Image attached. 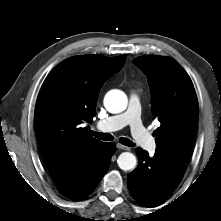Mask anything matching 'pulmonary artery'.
I'll return each instance as SVG.
<instances>
[{
  "mask_svg": "<svg viewBox=\"0 0 221 221\" xmlns=\"http://www.w3.org/2000/svg\"><path fill=\"white\" fill-rule=\"evenodd\" d=\"M140 110V99L138 94L134 92L130 95L129 106L125 112L99 121L97 123V128L103 132H110L129 125L135 141L145 150L154 152L156 143L142 124Z\"/></svg>",
  "mask_w": 221,
  "mask_h": 221,
  "instance_id": "e3ab8cb5",
  "label": "pulmonary artery"
}]
</instances>
